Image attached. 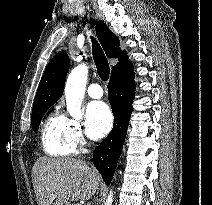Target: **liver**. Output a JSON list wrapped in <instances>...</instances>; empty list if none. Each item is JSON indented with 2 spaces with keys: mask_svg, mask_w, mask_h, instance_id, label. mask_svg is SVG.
Segmentation results:
<instances>
[{
  "mask_svg": "<svg viewBox=\"0 0 212 205\" xmlns=\"http://www.w3.org/2000/svg\"><path fill=\"white\" fill-rule=\"evenodd\" d=\"M32 173L38 205L88 200L99 185L96 172L78 159L42 157L35 162Z\"/></svg>",
  "mask_w": 212,
  "mask_h": 205,
  "instance_id": "1",
  "label": "liver"
}]
</instances>
